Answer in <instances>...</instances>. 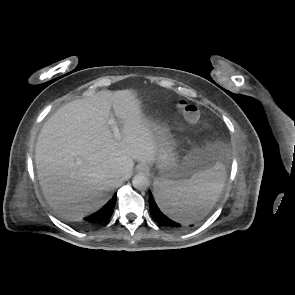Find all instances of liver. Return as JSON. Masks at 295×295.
<instances>
[{"label":"liver","mask_w":295,"mask_h":295,"mask_svg":"<svg viewBox=\"0 0 295 295\" xmlns=\"http://www.w3.org/2000/svg\"><path fill=\"white\" fill-rule=\"evenodd\" d=\"M133 90L99 91L67 103L43 125L35 148L45 199L81 217L100 209L132 174L134 161L152 163L156 138ZM111 108L121 124L116 139Z\"/></svg>","instance_id":"liver-1"}]
</instances>
